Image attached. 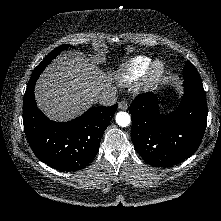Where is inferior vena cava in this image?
<instances>
[{
	"mask_svg": "<svg viewBox=\"0 0 221 221\" xmlns=\"http://www.w3.org/2000/svg\"><path fill=\"white\" fill-rule=\"evenodd\" d=\"M116 90L113 87L104 89L96 96V101L103 106H111L116 103Z\"/></svg>",
	"mask_w": 221,
	"mask_h": 221,
	"instance_id": "inferior-vena-cava-1",
	"label": "inferior vena cava"
}]
</instances>
